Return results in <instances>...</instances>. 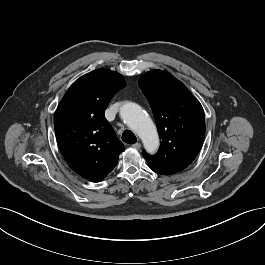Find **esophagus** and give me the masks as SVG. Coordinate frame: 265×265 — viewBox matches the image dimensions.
Segmentation results:
<instances>
[{
  "label": "esophagus",
  "instance_id": "34e87169",
  "mask_svg": "<svg viewBox=\"0 0 265 265\" xmlns=\"http://www.w3.org/2000/svg\"><path fill=\"white\" fill-rule=\"evenodd\" d=\"M133 148L139 150L141 148V144L140 143H135L132 145Z\"/></svg>",
  "mask_w": 265,
  "mask_h": 265
}]
</instances>
